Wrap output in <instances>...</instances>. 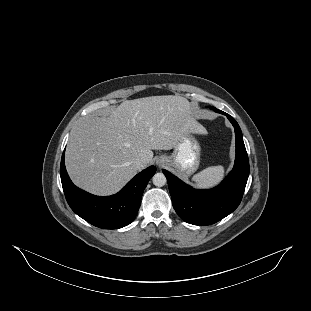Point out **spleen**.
I'll list each match as a JSON object with an SVG mask.
<instances>
[{
    "mask_svg": "<svg viewBox=\"0 0 311 311\" xmlns=\"http://www.w3.org/2000/svg\"><path fill=\"white\" fill-rule=\"evenodd\" d=\"M224 177L222 165L208 167L192 177L198 188H210L218 184Z\"/></svg>",
    "mask_w": 311,
    "mask_h": 311,
    "instance_id": "3e777b00",
    "label": "spleen"
}]
</instances>
